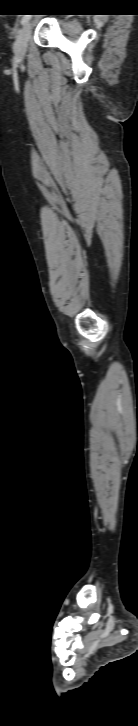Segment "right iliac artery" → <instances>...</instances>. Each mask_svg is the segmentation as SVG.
<instances>
[{
    "label": "right iliac artery",
    "instance_id": "82829eb1",
    "mask_svg": "<svg viewBox=\"0 0 138 726\" xmlns=\"http://www.w3.org/2000/svg\"><path fill=\"white\" fill-rule=\"evenodd\" d=\"M29 19H30V16H28V15H25V16H24V17H23V18L21 19V24H22V25H25V24H26V23H27V22L29 21Z\"/></svg>",
    "mask_w": 138,
    "mask_h": 726
}]
</instances>
